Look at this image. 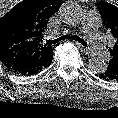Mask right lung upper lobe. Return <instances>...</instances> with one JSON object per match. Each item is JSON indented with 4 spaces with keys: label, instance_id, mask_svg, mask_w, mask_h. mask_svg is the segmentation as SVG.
Listing matches in <instances>:
<instances>
[{
    "label": "right lung upper lobe",
    "instance_id": "right-lung-upper-lobe-1",
    "mask_svg": "<svg viewBox=\"0 0 118 118\" xmlns=\"http://www.w3.org/2000/svg\"><path fill=\"white\" fill-rule=\"evenodd\" d=\"M62 0H24L0 19V61L20 69L47 68L54 47L44 40L49 18Z\"/></svg>",
    "mask_w": 118,
    "mask_h": 118
}]
</instances>
